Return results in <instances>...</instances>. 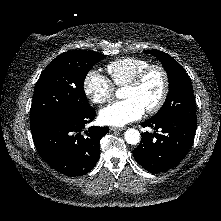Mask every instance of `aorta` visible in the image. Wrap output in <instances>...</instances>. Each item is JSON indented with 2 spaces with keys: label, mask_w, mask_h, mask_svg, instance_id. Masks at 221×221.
Wrapping results in <instances>:
<instances>
[{
  "label": "aorta",
  "mask_w": 221,
  "mask_h": 221,
  "mask_svg": "<svg viewBox=\"0 0 221 221\" xmlns=\"http://www.w3.org/2000/svg\"><path fill=\"white\" fill-rule=\"evenodd\" d=\"M116 96L120 97V90L116 91ZM124 138L128 144L135 145L140 141V133L138 130L130 128L126 130Z\"/></svg>",
  "instance_id": "1"
}]
</instances>
